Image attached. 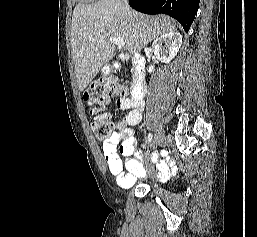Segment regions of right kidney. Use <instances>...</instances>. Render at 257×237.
<instances>
[{
  "label": "right kidney",
  "instance_id": "ca27d5eb",
  "mask_svg": "<svg viewBox=\"0 0 257 237\" xmlns=\"http://www.w3.org/2000/svg\"><path fill=\"white\" fill-rule=\"evenodd\" d=\"M182 45V35L176 31L168 32L159 36L152 44L155 56L163 63H169L179 51ZM148 72H153V67L148 68Z\"/></svg>",
  "mask_w": 257,
  "mask_h": 237
}]
</instances>
